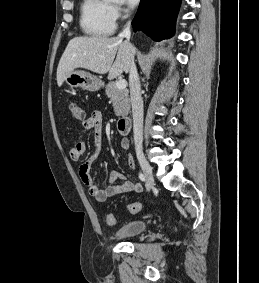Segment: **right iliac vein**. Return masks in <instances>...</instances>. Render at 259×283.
<instances>
[{"instance_id": "right-iliac-vein-1", "label": "right iliac vein", "mask_w": 259, "mask_h": 283, "mask_svg": "<svg viewBox=\"0 0 259 283\" xmlns=\"http://www.w3.org/2000/svg\"><path fill=\"white\" fill-rule=\"evenodd\" d=\"M137 158H138V161L141 165V168H142V170L145 174V177H146V180H147L148 190H150L155 184V180H154V176H153L151 166L148 163V161L146 160V158H145V156L142 152L137 153Z\"/></svg>"}]
</instances>
